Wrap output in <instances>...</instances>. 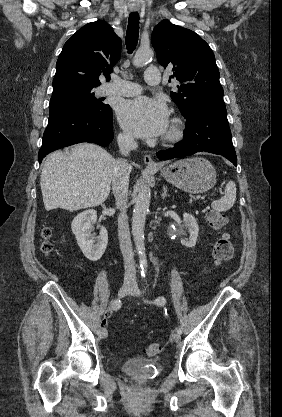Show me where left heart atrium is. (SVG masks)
Masks as SVG:
<instances>
[{"label": "left heart atrium", "mask_w": 282, "mask_h": 417, "mask_svg": "<svg viewBox=\"0 0 282 417\" xmlns=\"http://www.w3.org/2000/svg\"><path fill=\"white\" fill-rule=\"evenodd\" d=\"M122 126L137 136H154L166 130L168 118L164 103L140 97L124 101L118 109Z\"/></svg>", "instance_id": "obj_1"}]
</instances>
